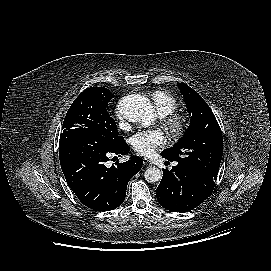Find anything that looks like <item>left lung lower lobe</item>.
Returning a JSON list of instances; mask_svg holds the SVG:
<instances>
[{"instance_id": "0a47b994", "label": "left lung lower lobe", "mask_w": 271, "mask_h": 271, "mask_svg": "<svg viewBox=\"0 0 271 271\" xmlns=\"http://www.w3.org/2000/svg\"><path fill=\"white\" fill-rule=\"evenodd\" d=\"M214 181L194 169L177 164L171 171L163 169L156 196L162 207L173 212H187L210 196Z\"/></svg>"}]
</instances>
